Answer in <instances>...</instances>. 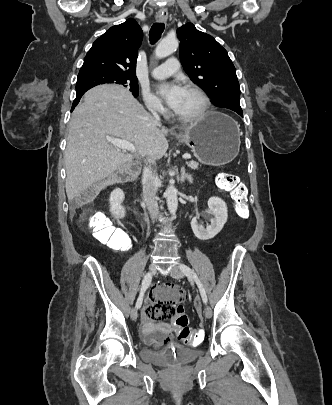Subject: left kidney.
<instances>
[{
  "mask_svg": "<svg viewBox=\"0 0 332 405\" xmlns=\"http://www.w3.org/2000/svg\"><path fill=\"white\" fill-rule=\"evenodd\" d=\"M208 207L203 216L210 220V225L205 228L199 223V216H195L191 221L193 233L200 240L214 238L223 229L228 218L227 205L221 198L211 197L208 200Z\"/></svg>",
  "mask_w": 332,
  "mask_h": 405,
  "instance_id": "5707ae66",
  "label": "left kidney"
}]
</instances>
